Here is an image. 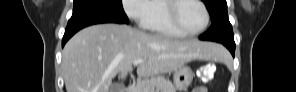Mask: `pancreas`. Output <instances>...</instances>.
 I'll list each match as a JSON object with an SVG mask.
<instances>
[{"mask_svg": "<svg viewBox=\"0 0 296 92\" xmlns=\"http://www.w3.org/2000/svg\"><path fill=\"white\" fill-rule=\"evenodd\" d=\"M132 92H176L173 83L164 76H153L138 81Z\"/></svg>", "mask_w": 296, "mask_h": 92, "instance_id": "obj_1", "label": "pancreas"}]
</instances>
